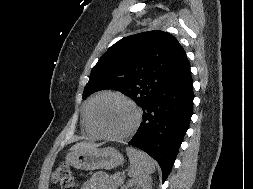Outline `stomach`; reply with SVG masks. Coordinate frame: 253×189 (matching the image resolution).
I'll return each instance as SVG.
<instances>
[{
    "label": "stomach",
    "mask_w": 253,
    "mask_h": 189,
    "mask_svg": "<svg viewBox=\"0 0 253 189\" xmlns=\"http://www.w3.org/2000/svg\"><path fill=\"white\" fill-rule=\"evenodd\" d=\"M65 159L67 164L81 170L113 169L124 163L122 154L113 147L71 151Z\"/></svg>",
    "instance_id": "stomach-1"
}]
</instances>
